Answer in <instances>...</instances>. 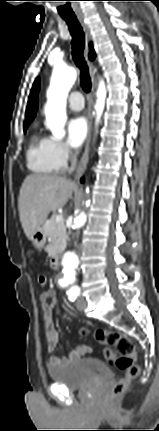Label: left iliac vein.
Returning a JSON list of instances; mask_svg holds the SVG:
<instances>
[{
    "mask_svg": "<svg viewBox=\"0 0 159 431\" xmlns=\"http://www.w3.org/2000/svg\"><path fill=\"white\" fill-rule=\"evenodd\" d=\"M86 306V301L83 296H79L76 301V307L79 311H83Z\"/></svg>",
    "mask_w": 159,
    "mask_h": 431,
    "instance_id": "1",
    "label": "left iliac vein"
}]
</instances>
